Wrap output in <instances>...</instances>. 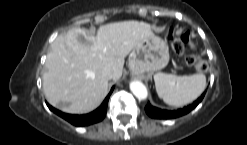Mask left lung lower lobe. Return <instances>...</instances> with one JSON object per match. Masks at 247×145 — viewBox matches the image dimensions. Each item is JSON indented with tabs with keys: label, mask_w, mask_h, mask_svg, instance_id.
I'll list each match as a JSON object with an SVG mask.
<instances>
[{
	"label": "left lung lower lobe",
	"mask_w": 247,
	"mask_h": 145,
	"mask_svg": "<svg viewBox=\"0 0 247 145\" xmlns=\"http://www.w3.org/2000/svg\"><path fill=\"white\" fill-rule=\"evenodd\" d=\"M204 95L205 92L195 102H193V104L184 107L183 109H179L177 111L161 110L159 108L153 107L150 103L146 105L145 111L152 118L171 119V118L180 117L182 115L187 114L192 109H194L201 102Z\"/></svg>",
	"instance_id": "left-lung-lower-lobe-1"
}]
</instances>
